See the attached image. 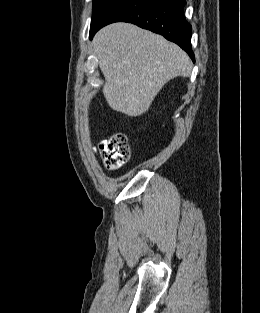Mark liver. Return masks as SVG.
Segmentation results:
<instances>
[{
    "instance_id": "liver-1",
    "label": "liver",
    "mask_w": 260,
    "mask_h": 313,
    "mask_svg": "<svg viewBox=\"0 0 260 313\" xmlns=\"http://www.w3.org/2000/svg\"><path fill=\"white\" fill-rule=\"evenodd\" d=\"M105 77L108 105L131 117L147 112L162 87L177 76L191 73L186 52L161 35L130 23H113L93 39Z\"/></svg>"
}]
</instances>
